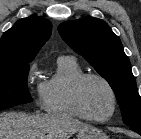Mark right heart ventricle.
Instances as JSON below:
<instances>
[{
	"label": "right heart ventricle",
	"instance_id": "1",
	"mask_svg": "<svg viewBox=\"0 0 141 139\" xmlns=\"http://www.w3.org/2000/svg\"><path fill=\"white\" fill-rule=\"evenodd\" d=\"M82 74L84 71L75 58L60 57L54 74L39 85L44 110L50 114L81 118L71 101V87Z\"/></svg>",
	"mask_w": 141,
	"mask_h": 139
}]
</instances>
